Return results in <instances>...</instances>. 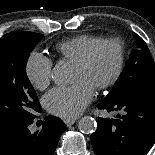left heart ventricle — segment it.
Listing matches in <instances>:
<instances>
[{"mask_svg": "<svg viewBox=\"0 0 155 155\" xmlns=\"http://www.w3.org/2000/svg\"><path fill=\"white\" fill-rule=\"evenodd\" d=\"M118 51L115 46L106 45L99 49L92 62L86 68L74 66L72 81H83L94 88L107 80L116 67Z\"/></svg>", "mask_w": 155, "mask_h": 155, "instance_id": "obj_1", "label": "left heart ventricle"}]
</instances>
